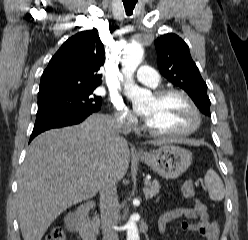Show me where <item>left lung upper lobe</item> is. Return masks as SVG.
I'll return each instance as SVG.
<instances>
[{"label":"left lung upper lobe","instance_id":"obj_1","mask_svg":"<svg viewBox=\"0 0 248 240\" xmlns=\"http://www.w3.org/2000/svg\"><path fill=\"white\" fill-rule=\"evenodd\" d=\"M154 43L161 74L169 82L185 90L199 110L210 116L207 85L191 58L187 44L173 33L160 36Z\"/></svg>","mask_w":248,"mask_h":240}]
</instances>
